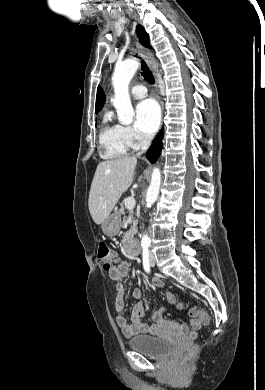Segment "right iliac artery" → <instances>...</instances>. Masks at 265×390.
Instances as JSON below:
<instances>
[{"instance_id":"obj_1","label":"right iliac artery","mask_w":265,"mask_h":390,"mask_svg":"<svg viewBox=\"0 0 265 390\" xmlns=\"http://www.w3.org/2000/svg\"><path fill=\"white\" fill-rule=\"evenodd\" d=\"M143 267L147 273L151 272L150 263H149V250L148 247L143 248Z\"/></svg>"}]
</instances>
